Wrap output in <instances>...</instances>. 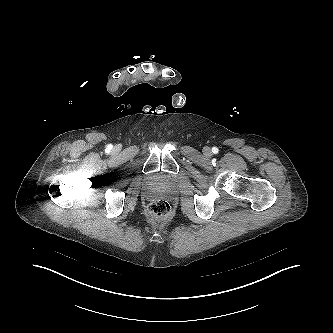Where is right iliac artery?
<instances>
[{"instance_id":"1","label":"right iliac artery","mask_w":333,"mask_h":333,"mask_svg":"<svg viewBox=\"0 0 333 333\" xmlns=\"http://www.w3.org/2000/svg\"><path fill=\"white\" fill-rule=\"evenodd\" d=\"M112 148V146L110 145V146H108V149H111Z\"/></svg>"}]
</instances>
